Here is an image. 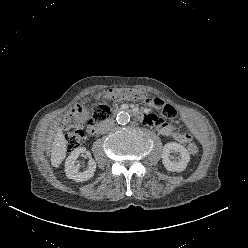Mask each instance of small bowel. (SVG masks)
<instances>
[{
    "mask_svg": "<svg viewBox=\"0 0 248 248\" xmlns=\"http://www.w3.org/2000/svg\"><path fill=\"white\" fill-rule=\"evenodd\" d=\"M149 104L158 111L159 116L145 114L142 117V122L145 125H150L152 123V126L157 129L160 134L167 137H173L177 142L182 144L189 143L192 140V135L189 133L176 131L174 126L164 123V119L166 121H171L176 120L179 117V112L173 108V105L170 102H163L160 98H152L150 99ZM182 119L191 130L194 137L199 141H202L203 133L196 121L187 114H183Z\"/></svg>",
    "mask_w": 248,
    "mask_h": 248,
    "instance_id": "c3829d8e",
    "label": "small bowel"
}]
</instances>
